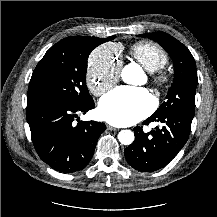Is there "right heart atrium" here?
I'll return each mask as SVG.
<instances>
[{
  "label": "right heart atrium",
  "mask_w": 217,
  "mask_h": 217,
  "mask_svg": "<svg viewBox=\"0 0 217 217\" xmlns=\"http://www.w3.org/2000/svg\"><path fill=\"white\" fill-rule=\"evenodd\" d=\"M121 61L116 46L105 44L97 47L88 60L86 83L96 96L105 93L119 79Z\"/></svg>",
  "instance_id": "1"
}]
</instances>
